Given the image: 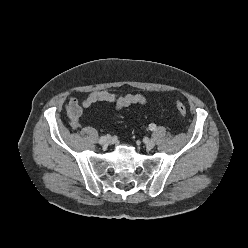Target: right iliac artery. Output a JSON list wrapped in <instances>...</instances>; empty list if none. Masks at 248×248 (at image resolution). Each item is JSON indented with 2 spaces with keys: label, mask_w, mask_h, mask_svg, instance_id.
Segmentation results:
<instances>
[{
  "label": "right iliac artery",
  "mask_w": 248,
  "mask_h": 248,
  "mask_svg": "<svg viewBox=\"0 0 248 248\" xmlns=\"http://www.w3.org/2000/svg\"><path fill=\"white\" fill-rule=\"evenodd\" d=\"M105 141V135H100V139L97 141L98 144L101 146Z\"/></svg>",
  "instance_id": "1"
}]
</instances>
